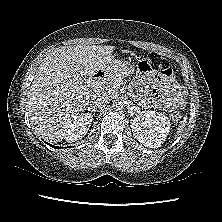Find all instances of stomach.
<instances>
[{
    "mask_svg": "<svg viewBox=\"0 0 222 222\" xmlns=\"http://www.w3.org/2000/svg\"><path fill=\"white\" fill-rule=\"evenodd\" d=\"M119 71L123 76H130L134 72V67L130 62L121 61Z\"/></svg>",
    "mask_w": 222,
    "mask_h": 222,
    "instance_id": "1",
    "label": "stomach"
}]
</instances>
